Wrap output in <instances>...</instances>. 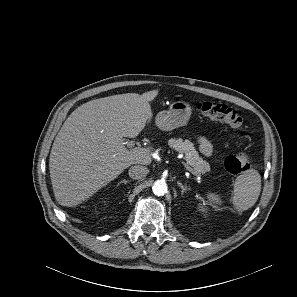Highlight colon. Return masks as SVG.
I'll return each mask as SVG.
<instances>
[{
    "label": "colon",
    "instance_id": "1",
    "mask_svg": "<svg viewBox=\"0 0 297 297\" xmlns=\"http://www.w3.org/2000/svg\"><path fill=\"white\" fill-rule=\"evenodd\" d=\"M197 110L210 119L225 122L238 130L241 135H245L243 118L238 110L228 105L211 101L198 102ZM251 163L252 160L248 154L228 156L225 159V168L229 173L239 175L248 170L251 167Z\"/></svg>",
    "mask_w": 297,
    "mask_h": 297
}]
</instances>
